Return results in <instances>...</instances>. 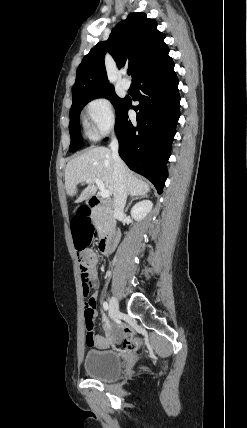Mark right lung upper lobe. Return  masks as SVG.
<instances>
[{"label":"right lung upper lobe","mask_w":247,"mask_h":428,"mask_svg":"<svg viewBox=\"0 0 247 428\" xmlns=\"http://www.w3.org/2000/svg\"><path fill=\"white\" fill-rule=\"evenodd\" d=\"M165 34L157 30V22L145 13H132L112 30L107 41L99 42L83 58L73 86V102L93 93L113 89L107 79L104 56L108 51L119 68L132 69V80L159 64L169 53Z\"/></svg>","instance_id":"right-lung-upper-lobe-1"}]
</instances>
